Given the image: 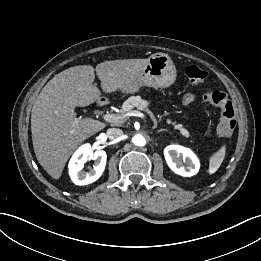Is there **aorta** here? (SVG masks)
I'll return each instance as SVG.
<instances>
[{
  "label": "aorta",
  "mask_w": 261,
  "mask_h": 261,
  "mask_svg": "<svg viewBox=\"0 0 261 261\" xmlns=\"http://www.w3.org/2000/svg\"><path fill=\"white\" fill-rule=\"evenodd\" d=\"M132 142L137 146H144L145 138L141 134H137L132 138Z\"/></svg>",
  "instance_id": "obj_1"
}]
</instances>
